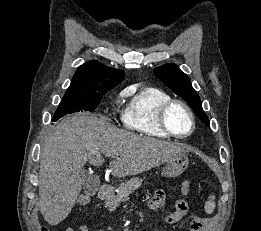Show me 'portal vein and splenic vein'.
Wrapping results in <instances>:
<instances>
[{
  "label": "portal vein and splenic vein",
  "mask_w": 261,
  "mask_h": 231,
  "mask_svg": "<svg viewBox=\"0 0 261 231\" xmlns=\"http://www.w3.org/2000/svg\"><path fill=\"white\" fill-rule=\"evenodd\" d=\"M116 153H107L106 156H114Z\"/></svg>",
  "instance_id": "1"
}]
</instances>
